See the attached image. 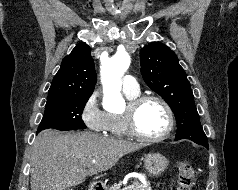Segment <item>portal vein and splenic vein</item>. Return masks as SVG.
I'll use <instances>...</instances> for the list:
<instances>
[{"label": "portal vein and splenic vein", "instance_id": "portal-vein-and-splenic-vein-1", "mask_svg": "<svg viewBox=\"0 0 238 190\" xmlns=\"http://www.w3.org/2000/svg\"><path fill=\"white\" fill-rule=\"evenodd\" d=\"M132 189H133V186L130 185V186L125 187L123 190H132Z\"/></svg>", "mask_w": 238, "mask_h": 190}]
</instances>
